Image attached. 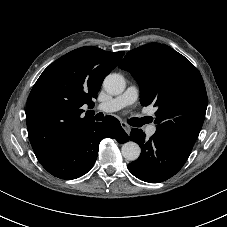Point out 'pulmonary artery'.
<instances>
[{"label":"pulmonary artery","mask_w":227,"mask_h":227,"mask_svg":"<svg viewBox=\"0 0 227 227\" xmlns=\"http://www.w3.org/2000/svg\"><path fill=\"white\" fill-rule=\"evenodd\" d=\"M139 97L138 89L135 86H129L121 95L107 101L100 103L97 109L102 112H115L128 105H132L137 101ZM156 132V127L150 125L146 128V133L149 136L154 135Z\"/></svg>","instance_id":"1"}]
</instances>
